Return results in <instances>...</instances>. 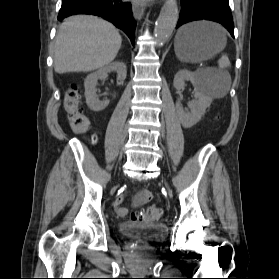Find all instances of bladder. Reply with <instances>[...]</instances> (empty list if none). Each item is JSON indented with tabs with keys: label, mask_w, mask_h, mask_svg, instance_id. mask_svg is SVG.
<instances>
[{
	"label": "bladder",
	"mask_w": 279,
	"mask_h": 279,
	"mask_svg": "<svg viewBox=\"0 0 279 279\" xmlns=\"http://www.w3.org/2000/svg\"><path fill=\"white\" fill-rule=\"evenodd\" d=\"M118 232L124 237L145 242H157L166 236L167 228L162 223L126 221L119 225Z\"/></svg>",
	"instance_id": "obj_1"
}]
</instances>
